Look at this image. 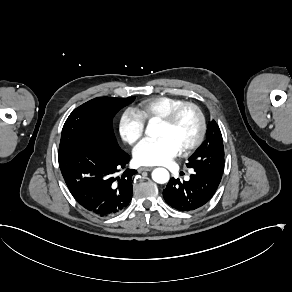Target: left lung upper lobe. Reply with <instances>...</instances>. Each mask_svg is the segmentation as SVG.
I'll return each mask as SVG.
<instances>
[{"instance_id": "1", "label": "left lung upper lobe", "mask_w": 292, "mask_h": 292, "mask_svg": "<svg viewBox=\"0 0 292 292\" xmlns=\"http://www.w3.org/2000/svg\"><path fill=\"white\" fill-rule=\"evenodd\" d=\"M187 167L194 172L222 177L224 170V146L221 131L212 120L208 123L206 140L189 158Z\"/></svg>"}]
</instances>
